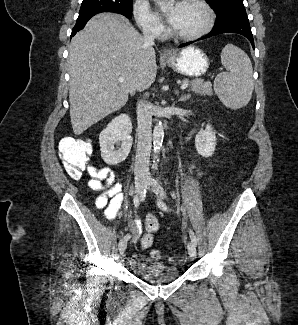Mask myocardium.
I'll return each instance as SVG.
<instances>
[{"mask_svg":"<svg viewBox=\"0 0 298 325\" xmlns=\"http://www.w3.org/2000/svg\"><path fill=\"white\" fill-rule=\"evenodd\" d=\"M188 1H191L195 6H197L201 10L204 16V23L197 31L189 34L177 33L174 30H172V28L169 26L168 36L174 39H178L182 41H193L204 36L211 28L212 16L208 6L205 5L201 0H188Z\"/></svg>","mask_w":298,"mask_h":325,"instance_id":"obj_1","label":"myocardium"}]
</instances>
